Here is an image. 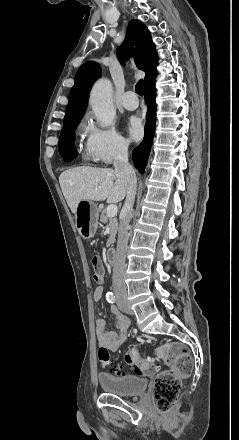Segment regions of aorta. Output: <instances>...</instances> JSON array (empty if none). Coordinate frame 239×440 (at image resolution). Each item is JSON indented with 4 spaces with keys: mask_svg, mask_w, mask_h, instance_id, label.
Masks as SVG:
<instances>
[{
    "mask_svg": "<svg viewBox=\"0 0 239 440\" xmlns=\"http://www.w3.org/2000/svg\"><path fill=\"white\" fill-rule=\"evenodd\" d=\"M112 84L110 80L101 78L94 84L89 104L102 128H108L115 120L116 108L112 102Z\"/></svg>",
    "mask_w": 239,
    "mask_h": 440,
    "instance_id": "1",
    "label": "aorta"
}]
</instances>
